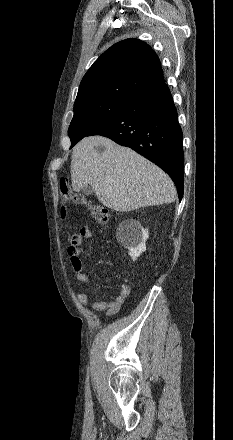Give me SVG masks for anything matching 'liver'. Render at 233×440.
Returning <instances> with one entry per match:
<instances>
[{
  "label": "liver",
  "instance_id": "liver-1",
  "mask_svg": "<svg viewBox=\"0 0 233 440\" xmlns=\"http://www.w3.org/2000/svg\"><path fill=\"white\" fill-rule=\"evenodd\" d=\"M98 147H103L102 152ZM72 188L88 184L106 207L128 212L140 207L169 204L176 199L171 178L130 148L102 136L82 139L73 149Z\"/></svg>",
  "mask_w": 233,
  "mask_h": 440
}]
</instances>
